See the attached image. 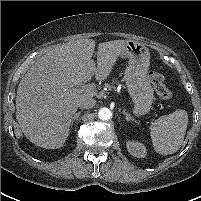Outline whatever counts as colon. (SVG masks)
<instances>
[{
	"label": "colon",
	"instance_id": "1",
	"mask_svg": "<svg viewBox=\"0 0 201 201\" xmlns=\"http://www.w3.org/2000/svg\"><path fill=\"white\" fill-rule=\"evenodd\" d=\"M149 78L155 88L158 97L164 101L169 100L172 96V93L165 85L163 75L159 72L153 71L150 73Z\"/></svg>",
	"mask_w": 201,
	"mask_h": 201
}]
</instances>
